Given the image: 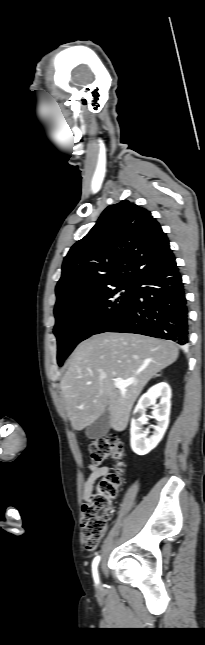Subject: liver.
I'll return each mask as SVG.
<instances>
[{
  "label": "liver",
  "instance_id": "1",
  "mask_svg": "<svg viewBox=\"0 0 205 645\" xmlns=\"http://www.w3.org/2000/svg\"><path fill=\"white\" fill-rule=\"evenodd\" d=\"M177 346L139 334L101 333L71 354L60 387L74 430L81 431L108 409L110 426L126 429L132 407L145 385L178 358ZM134 380L124 389L114 379Z\"/></svg>",
  "mask_w": 205,
  "mask_h": 645
}]
</instances>
